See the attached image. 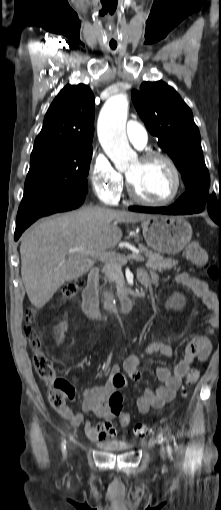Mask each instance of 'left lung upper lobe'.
<instances>
[{
  "label": "left lung upper lobe",
  "instance_id": "obj_1",
  "mask_svg": "<svg viewBox=\"0 0 221 510\" xmlns=\"http://www.w3.org/2000/svg\"><path fill=\"white\" fill-rule=\"evenodd\" d=\"M132 100L149 132L181 172L186 192L174 205L221 211V199L209 193L198 127L179 94L163 81L143 82L140 91H132Z\"/></svg>",
  "mask_w": 221,
  "mask_h": 510
}]
</instances>
